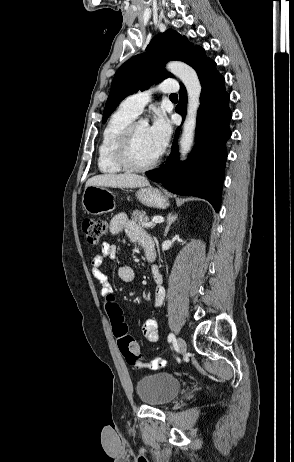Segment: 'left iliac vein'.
<instances>
[{
    "label": "left iliac vein",
    "mask_w": 294,
    "mask_h": 462,
    "mask_svg": "<svg viewBox=\"0 0 294 462\" xmlns=\"http://www.w3.org/2000/svg\"><path fill=\"white\" fill-rule=\"evenodd\" d=\"M177 346H178V349L181 353H184L186 352V349H187V345H186V342L183 338L179 337L177 339Z\"/></svg>",
    "instance_id": "obj_1"
}]
</instances>
